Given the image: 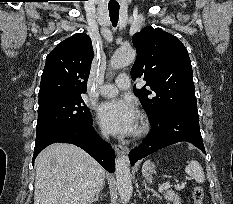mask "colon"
Returning <instances> with one entry per match:
<instances>
[{
	"instance_id": "obj_1",
	"label": "colon",
	"mask_w": 233,
	"mask_h": 204,
	"mask_svg": "<svg viewBox=\"0 0 233 204\" xmlns=\"http://www.w3.org/2000/svg\"><path fill=\"white\" fill-rule=\"evenodd\" d=\"M205 197L204 189L201 186H195L192 192V198L194 204H203Z\"/></svg>"
}]
</instances>
